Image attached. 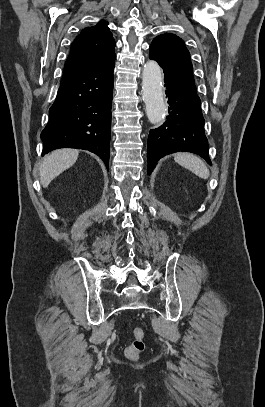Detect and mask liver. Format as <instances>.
I'll return each instance as SVG.
<instances>
[{"label":"liver","instance_id":"liver-1","mask_svg":"<svg viewBox=\"0 0 265 407\" xmlns=\"http://www.w3.org/2000/svg\"><path fill=\"white\" fill-rule=\"evenodd\" d=\"M78 155L76 149H58L46 155L39 170L42 186L46 188L53 179L74 165Z\"/></svg>","mask_w":265,"mask_h":407}]
</instances>
